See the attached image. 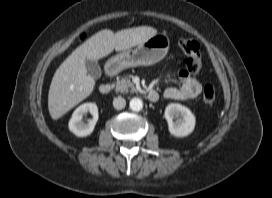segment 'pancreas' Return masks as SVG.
<instances>
[{"label": "pancreas", "mask_w": 272, "mask_h": 198, "mask_svg": "<svg viewBox=\"0 0 272 198\" xmlns=\"http://www.w3.org/2000/svg\"><path fill=\"white\" fill-rule=\"evenodd\" d=\"M116 92L120 93H128V92H136L135 85L131 82L128 75L122 76L120 79H117L114 84Z\"/></svg>", "instance_id": "1"}]
</instances>
